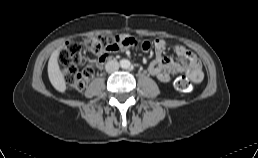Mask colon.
I'll list each match as a JSON object with an SVG mask.
<instances>
[{
    "label": "colon",
    "mask_w": 258,
    "mask_h": 158,
    "mask_svg": "<svg viewBox=\"0 0 258 158\" xmlns=\"http://www.w3.org/2000/svg\"><path fill=\"white\" fill-rule=\"evenodd\" d=\"M137 45L132 36H87L81 43L70 41L60 49L59 59L61 71L70 90L83 92L88 81L93 76L89 67L79 70L77 67L85 65L84 51L98 56L107 57L119 51L122 47H134ZM176 87L185 93L193 91L194 85L188 78L182 77L177 80Z\"/></svg>",
    "instance_id": "obj_1"
}]
</instances>
